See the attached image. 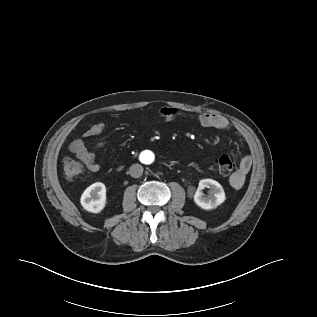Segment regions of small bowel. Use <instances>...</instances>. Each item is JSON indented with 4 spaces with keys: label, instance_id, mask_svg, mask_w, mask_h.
Instances as JSON below:
<instances>
[{
    "label": "small bowel",
    "instance_id": "small-bowel-1",
    "mask_svg": "<svg viewBox=\"0 0 317 317\" xmlns=\"http://www.w3.org/2000/svg\"><path fill=\"white\" fill-rule=\"evenodd\" d=\"M179 114V110L173 107H162L159 110V117L165 121L174 120ZM198 121L204 127L223 131L230 129L227 119L218 113L203 112L198 116ZM103 130L104 125L102 123L93 124L85 131L82 137L74 139L70 144V151L92 172H97L100 169V165L96 161L94 152L91 148L87 147L84 139L98 136ZM106 143V141L98 142L94 145V148H102ZM251 164L252 160L250 156L245 155L242 157L238 171L230 177V184L234 188L242 187Z\"/></svg>",
    "mask_w": 317,
    "mask_h": 317
}]
</instances>
